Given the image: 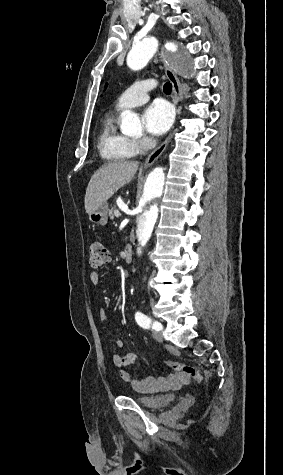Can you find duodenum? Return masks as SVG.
I'll return each instance as SVG.
<instances>
[{
    "label": "duodenum",
    "mask_w": 283,
    "mask_h": 475,
    "mask_svg": "<svg viewBox=\"0 0 283 475\" xmlns=\"http://www.w3.org/2000/svg\"><path fill=\"white\" fill-rule=\"evenodd\" d=\"M132 256H133V246L131 244H128L124 248V252H123L124 260L126 262L131 261Z\"/></svg>",
    "instance_id": "obj_1"
}]
</instances>
